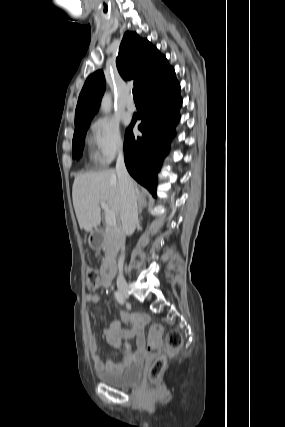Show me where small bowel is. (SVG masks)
I'll return each instance as SVG.
<instances>
[{"instance_id": "small-bowel-1", "label": "small bowel", "mask_w": 285, "mask_h": 427, "mask_svg": "<svg viewBox=\"0 0 285 427\" xmlns=\"http://www.w3.org/2000/svg\"><path fill=\"white\" fill-rule=\"evenodd\" d=\"M103 266L104 264L99 269V279L103 287H108L111 279L107 282H104ZM86 300L90 304H98L101 301V297L98 294L88 292L86 294ZM119 313L120 321H114L107 328H104L102 330V335L104 336L106 343L113 349H119L121 347L122 339L136 338L137 350L135 353L125 354L118 362L108 361L104 363L101 360L98 345L91 330L90 318L87 316L86 324L88 343L90 347L91 358L97 371H103L106 369L117 371L126 364L132 361L141 360L147 355L143 332L144 326L148 322L147 315L141 312H134L129 314L123 310H120ZM124 324L130 326L124 327Z\"/></svg>"}]
</instances>
